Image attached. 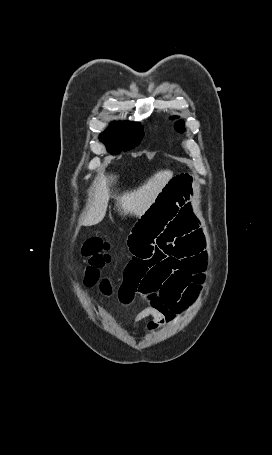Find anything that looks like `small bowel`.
<instances>
[{"instance_id":"small-bowel-1","label":"small bowel","mask_w":272,"mask_h":455,"mask_svg":"<svg viewBox=\"0 0 272 455\" xmlns=\"http://www.w3.org/2000/svg\"><path fill=\"white\" fill-rule=\"evenodd\" d=\"M194 192L192 175L172 177L132 229L128 238L132 258L118 299L123 305L136 296L146 299L133 324L150 318L147 327L154 330L195 299L205 253L199 220L189 203Z\"/></svg>"}]
</instances>
